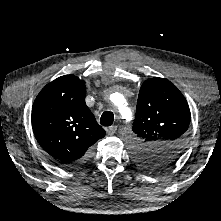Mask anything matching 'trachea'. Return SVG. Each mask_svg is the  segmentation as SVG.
<instances>
[{"label":"trachea","mask_w":221,"mask_h":221,"mask_svg":"<svg viewBox=\"0 0 221 221\" xmlns=\"http://www.w3.org/2000/svg\"><path fill=\"white\" fill-rule=\"evenodd\" d=\"M114 121V115L110 111H106L102 114L100 118V124L103 126H111Z\"/></svg>","instance_id":"trachea-1"}]
</instances>
